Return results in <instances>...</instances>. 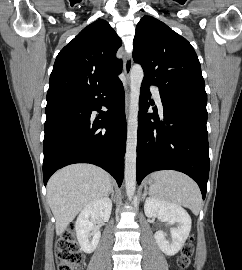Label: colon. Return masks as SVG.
<instances>
[{
	"instance_id": "1",
	"label": "colon",
	"mask_w": 242,
	"mask_h": 270,
	"mask_svg": "<svg viewBox=\"0 0 242 270\" xmlns=\"http://www.w3.org/2000/svg\"><path fill=\"white\" fill-rule=\"evenodd\" d=\"M194 253L193 237L183 246L178 266L181 270H186ZM56 258L58 270H77L83 262V255L75 241L74 227L67 228L56 244Z\"/></svg>"
}]
</instances>
